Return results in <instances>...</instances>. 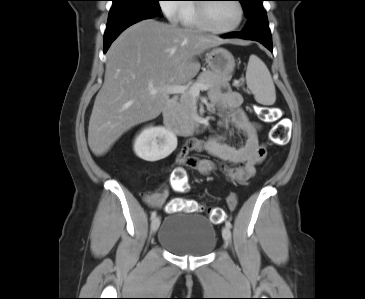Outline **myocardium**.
I'll return each mask as SVG.
<instances>
[{
  "mask_svg": "<svg viewBox=\"0 0 365 299\" xmlns=\"http://www.w3.org/2000/svg\"><path fill=\"white\" fill-rule=\"evenodd\" d=\"M234 2L236 3L238 10H239V19H238V22L234 26L229 27V28L214 27L211 24V20H210V16H209V10H208L209 3L204 2V3L198 4L197 5L198 19H199V22L202 25V27L205 30L212 32V33H216V34H226V33H231V32L236 31L242 25V23L244 21L245 11H244V7L240 0H234Z\"/></svg>",
  "mask_w": 365,
  "mask_h": 299,
  "instance_id": "myocardium-1",
  "label": "myocardium"
}]
</instances>
